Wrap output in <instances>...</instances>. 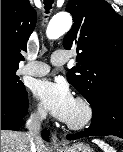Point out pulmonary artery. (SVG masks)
<instances>
[{
  "mask_svg": "<svg viewBox=\"0 0 123 152\" xmlns=\"http://www.w3.org/2000/svg\"><path fill=\"white\" fill-rule=\"evenodd\" d=\"M68 61V56L63 51H55L51 56V64L54 66H62ZM50 71V66L44 62L33 61L27 64L21 73L30 76H44Z\"/></svg>",
  "mask_w": 123,
  "mask_h": 152,
  "instance_id": "e3ab8cb5",
  "label": "pulmonary artery"
}]
</instances>
